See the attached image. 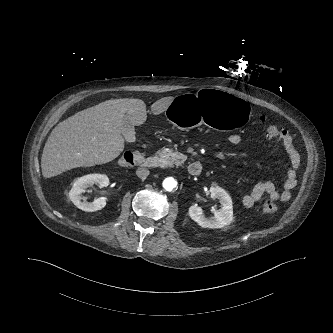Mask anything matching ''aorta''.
Masks as SVG:
<instances>
[{"label":"aorta","mask_w":333,"mask_h":333,"mask_svg":"<svg viewBox=\"0 0 333 333\" xmlns=\"http://www.w3.org/2000/svg\"><path fill=\"white\" fill-rule=\"evenodd\" d=\"M176 186H177V181L172 177H168L163 181V188L166 191H172L174 188H176Z\"/></svg>","instance_id":"1"}]
</instances>
